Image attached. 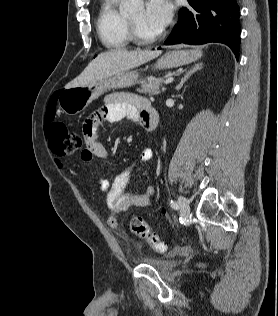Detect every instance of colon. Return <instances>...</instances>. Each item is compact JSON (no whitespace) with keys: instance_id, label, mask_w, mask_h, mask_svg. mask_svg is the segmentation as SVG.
Returning a JSON list of instances; mask_svg holds the SVG:
<instances>
[{"instance_id":"obj_1","label":"colon","mask_w":278,"mask_h":316,"mask_svg":"<svg viewBox=\"0 0 278 316\" xmlns=\"http://www.w3.org/2000/svg\"><path fill=\"white\" fill-rule=\"evenodd\" d=\"M47 137L52 152L59 157L74 153L82 143L79 133L61 122L49 124ZM129 227L137 237L145 240L157 252L164 253L166 251V244L159 239L141 217H131Z\"/></svg>"}]
</instances>
